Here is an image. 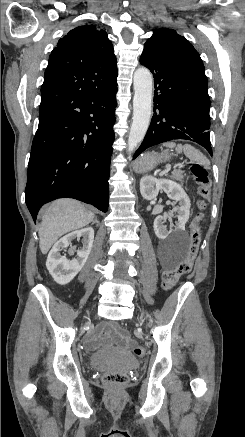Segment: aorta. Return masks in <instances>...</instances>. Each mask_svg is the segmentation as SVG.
Instances as JSON below:
<instances>
[{
	"mask_svg": "<svg viewBox=\"0 0 245 437\" xmlns=\"http://www.w3.org/2000/svg\"><path fill=\"white\" fill-rule=\"evenodd\" d=\"M152 75L145 67L134 73L133 121L128 137V151L132 152L144 139L152 108Z\"/></svg>",
	"mask_w": 245,
	"mask_h": 437,
	"instance_id": "obj_1",
	"label": "aorta"
}]
</instances>
